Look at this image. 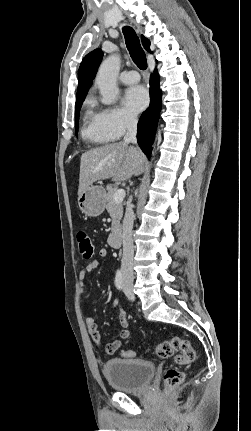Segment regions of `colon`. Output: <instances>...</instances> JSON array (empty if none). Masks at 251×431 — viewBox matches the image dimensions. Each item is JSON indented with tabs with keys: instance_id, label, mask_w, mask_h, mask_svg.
Listing matches in <instances>:
<instances>
[{
	"instance_id": "obj_1",
	"label": "colon",
	"mask_w": 251,
	"mask_h": 431,
	"mask_svg": "<svg viewBox=\"0 0 251 431\" xmlns=\"http://www.w3.org/2000/svg\"><path fill=\"white\" fill-rule=\"evenodd\" d=\"M77 243L79 252L84 259H91L94 255V246L90 236L83 230L77 233ZM156 355L160 358H169L175 353V363L178 365H187L194 361L195 351L189 340L179 336H174L169 340L163 341L156 345L154 349ZM136 355L133 350L123 352L126 358H132ZM184 374L177 368H168L163 376L164 395L169 396L174 388L182 383Z\"/></svg>"
}]
</instances>
